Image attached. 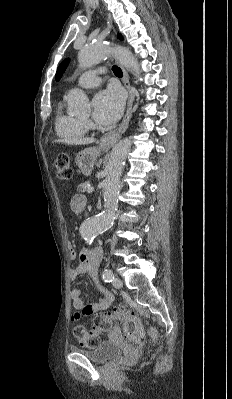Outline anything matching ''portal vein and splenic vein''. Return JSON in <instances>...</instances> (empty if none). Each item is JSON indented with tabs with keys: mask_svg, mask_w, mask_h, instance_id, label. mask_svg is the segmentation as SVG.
Instances as JSON below:
<instances>
[{
	"mask_svg": "<svg viewBox=\"0 0 232 399\" xmlns=\"http://www.w3.org/2000/svg\"><path fill=\"white\" fill-rule=\"evenodd\" d=\"M91 192H94V188H91V186H88L87 194H91Z\"/></svg>",
	"mask_w": 232,
	"mask_h": 399,
	"instance_id": "1",
	"label": "portal vein and splenic vein"
}]
</instances>
